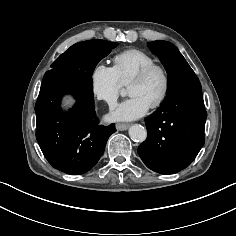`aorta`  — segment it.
I'll use <instances>...</instances> for the list:
<instances>
[{
    "mask_svg": "<svg viewBox=\"0 0 236 236\" xmlns=\"http://www.w3.org/2000/svg\"><path fill=\"white\" fill-rule=\"evenodd\" d=\"M129 136L134 141L143 142L146 140L147 131L142 125L134 124L129 128Z\"/></svg>",
    "mask_w": 236,
    "mask_h": 236,
    "instance_id": "aorta-1",
    "label": "aorta"
}]
</instances>
